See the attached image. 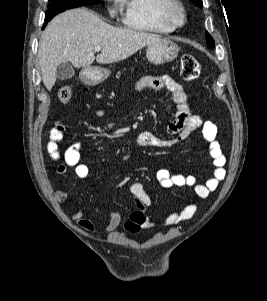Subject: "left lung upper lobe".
<instances>
[{
	"label": "left lung upper lobe",
	"instance_id": "obj_1",
	"mask_svg": "<svg viewBox=\"0 0 267 301\" xmlns=\"http://www.w3.org/2000/svg\"><path fill=\"white\" fill-rule=\"evenodd\" d=\"M190 1L193 2L195 6H198V7H201V8L203 7L202 0H190ZM206 41H207L208 47H210V48L214 47V40L209 35V33H206Z\"/></svg>",
	"mask_w": 267,
	"mask_h": 301
}]
</instances>
